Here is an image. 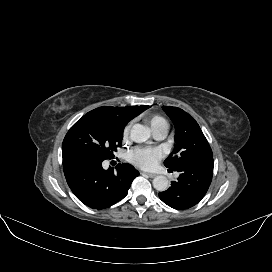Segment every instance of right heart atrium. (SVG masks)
I'll return each mask as SVG.
<instances>
[{"label":"right heart atrium","mask_w":272,"mask_h":272,"mask_svg":"<svg viewBox=\"0 0 272 272\" xmlns=\"http://www.w3.org/2000/svg\"><path fill=\"white\" fill-rule=\"evenodd\" d=\"M130 129H131L130 123H128L127 125L124 126L123 131H122L123 140H126L129 137Z\"/></svg>","instance_id":"1"}]
</instances>
